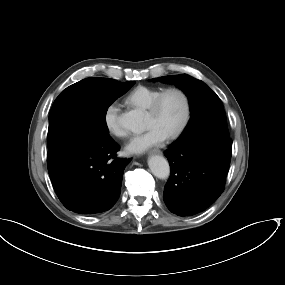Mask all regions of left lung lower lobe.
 Wrapping results in <instances>:
<instances>
[{"label": "left lung lower lobe", "instance_id": "left-lung-lower-lobe-1", "mask_svg": "<svg viewBox=\"0 0 285 285\" xmlns=\"http://www.w3.org/2000/svg\"><path fill=\"white\" fill-rule=\"evenodd\" d=\"M229 137L203 136L165 151L171 176L163 199L178 216L195 215L208 208L223 192L231 160Z\"/></svg>", "mask_w": 285, "mask_h": 285}]
</instances>
